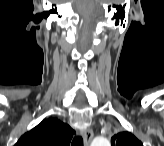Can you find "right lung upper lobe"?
Masks as SVG:
<instances>
[{
    "label": "right lung upper lobe",
    "instance_id": "1",
    "mask_svg": "<svg viewBox=\"0 0 164 146\" xmlns=\"http://www.w3.org/2000/svg\"><path fill=\"white\" fill-rule=\"evenodd\" d=\"M73 129L56 118H48L21 136L15 146H69Z\"/></svg>",
    "mask_w": 164,
    "mask_h": 146
}]
</instances>
